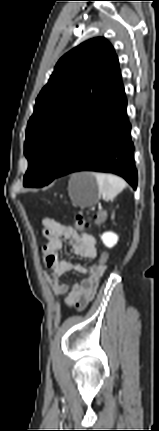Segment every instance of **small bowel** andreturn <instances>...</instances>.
Segmentation results:
<instances>
[{
    "instance_id": "1",
    "label": "small bowel",
    "mask_w": 159,
    "mask_h": 431,
    "mask_svg": "<svg viewBox=\"0 0 159 431\" xmlns=\"http://www.w3.org/2000/svg\"><path fill=\"white\" fill-rule=\"evenodd\" d=\"M45 226L46 244L43 247V257L46 269L49 272V283L55 295L67 294L65 305L67 307L83 308L95 295L99 280L107 273V265L103 259L89 269L81 264H75L59 258V251L63 241L69 243L74 254L86 259L97 256L96 240L90 234H79L72 226L59 223L47 218L43 221ZM69 271L88 275L72 285L63 283L60 278Z\"/></svg>"
}]
</instances>
